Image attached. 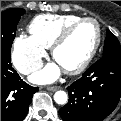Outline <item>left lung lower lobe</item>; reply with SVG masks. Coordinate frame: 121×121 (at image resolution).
Returning <instances> with one entry per match:
<instances>
[{"label":"left lung lower lobe","mask_w":121,"mask_h":121,"mask_svg":"<svg viewBox=\"0 0 121 121\" xmlns=\"http://www.w3.org/2000/svg\"><path fill=\"white\" fill-rule=\"evenodd\" d=\"M69 101L59 110L64 121H102L121 95V55L104 56L68 88Z\"/></svg>","instance_id":"obj_1"}]
</instances>
